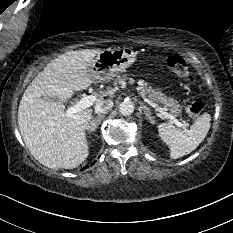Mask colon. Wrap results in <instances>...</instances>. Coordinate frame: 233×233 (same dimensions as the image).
I'll return each instance as SVG.
<instances>
[{
  "label": "colon",
  "mask_w": 233,
  "mask_h": 233,
  "mask_svg": "<svg viewBox=\"0 0 233 233\" xmlns=\"http://www.w3.org/2000/svg\"><path fill=\"white\" fill-rule=\"evenodd\" d=\"M169 68L179 77L189 79V69L186 60L180 55H172L167 59ZM186 111L193 116H198L204 109V103L200 100L188 98L185 100Z\"/></svg>",
  "instance_id": "1"
}]
</instances>
